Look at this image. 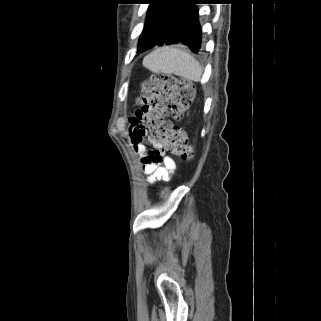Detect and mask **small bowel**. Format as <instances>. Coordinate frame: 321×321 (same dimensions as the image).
I'll use <instances>...</instances> for the list:
<instances>
[{"mask_svg": "<svg viewBox=\"0 0 321 321\" xmlns=\"http://www.w3.org/2000/svg\"><path fill=\"white\" fill-rule=\"evenodd\" d=\"M154 113L150 108H142L137 110L130 119V141L140 156L143 171L150 184L158 180H168L170 173L175 169V162L171 157L165 154H162L158 159L156 157L159 147L151 136L149 124ZM146 140L151 144L150 148H147Z\"/></svg>", "mask_w": 321, "mask_h": 321, "instance_id": "small-bowel-1", "label": "small bowel"}]
</instances>
